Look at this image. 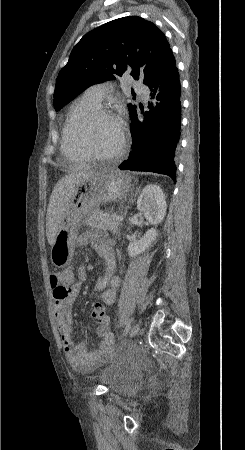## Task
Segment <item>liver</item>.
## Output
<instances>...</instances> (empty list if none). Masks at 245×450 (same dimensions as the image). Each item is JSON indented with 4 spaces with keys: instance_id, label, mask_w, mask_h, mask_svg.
Returning <instances> with one entry per match:
<instances>
[{
    "instance_id": "liver-1",
    "label": "liver",
    "mask_w": 245,
    "mask_h": 450,
    "mask_svg": "<svg viewBox=\"0 0 245 450\" xmlns=\"http://www.w3.org/2000/svg\"><path fill=\"white\" fill-rule=\"evenodd\" d=\"M95 169L84 168L73 171L60 179L50 196L46 214V235L48 243L54 244L60 223L64 217L66 207L73 195L76 185L83 179L93 175Z\"/></svg>"
}]
</instances>
